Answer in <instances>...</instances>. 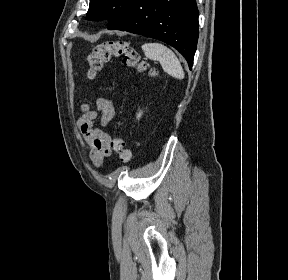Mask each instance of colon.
I'll return each mask as SVG.
<instances>
[{
  "label": "colon",
  "mask_w": 288,
  "mask_h": 280,
  "mask_svg": "<svg viewBox=\"0 0 288 280\" xmlns=\"http://www.w3.org/2000/svg\"><path fill=\"white\" fill-rule=\"evenodd\" d=\"M120 58L125 66L135 68L139 72L155 75V70L142 60L137 50L122 40L105 41L97 45L88 56V78L94 79L112 58ZM111 148L119 155L121 161L128 163L132 159L131 151L126 148L122 138H114Z\"/></svg>",
  "instance_id": "obj_1"
}]
</instances>
